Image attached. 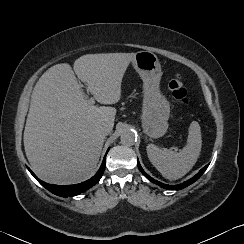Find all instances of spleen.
I'll return each instance as SVG.
<instances>
[{
	"instance_id": "1",
	"label": "spleen",
	"mask_w": 244,
	"mask_h": 244,
	"mask_svg": "<svg viewBox=\"0 0 244 244\" xmlns=\"http://www.w3.org/2000/svg\"><path fill=\"white\" fill-rule=\"evenodd\" d=\"M202 147L201 128L198 122L192 121L188 129L187 144L179 152L159 148L154 144L146 147L152 165L169 180L185 176L195 165Z\"/></svg>"
}]
</instances>
